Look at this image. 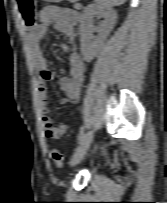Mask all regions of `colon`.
<instances>
[{
    "label": "colon",
    "mask_w": 167,
    "mask_h": 203,
    "mask_svg": "<svg viewBox=\"0 0 167 203\" xmlns=\"http://www.w3.org/2000/svg\"><path fill=\"white\" fill-rule=\"evenodd\" d=\"M18 10L20 17L25 25V27L29 30L36 29V21H35V1L34 0H17ZM51 159L53 162L61 167L64 163V158L59 149H52L51 151Z\"/></svg>",
    "instance_id": "1"
}]
</instances>
